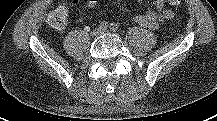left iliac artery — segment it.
Returning a JSON list of instances; mask_svg holds the SVG:
<instances>
[{"mask_svg": "<svg viewBox=\"0 0 217 121\" xmlns=\"http://www.w3.org/2000/svg\"><path fill=\"white\" fill-rule=\"evenodd\" d=\"M109 28L111 31L115 32L118 29V25L116 23H111Z\"/></svg>", "mask_w": 217, "mask_h": 121, "instance_id": "left-iliac-artery-1", "label": "left iliac artery"}]
</instances>
